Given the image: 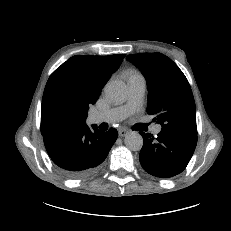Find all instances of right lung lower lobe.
<instances>
[{
    "instance_id": "right-lung-lower-lobe-1",
    "label": "right lung lower lobe",
    "mask_w": 231,
    "mask_h": 231,
    "mask_svg": "<svg viewBox=\"0 0 231 231\" xmlns=\"http://www.w3.org/2000/svg\"><path fill=\"white\" fill-rule=\"evenodd\" d=\"M118 137L115 129L99 131L86 123L76 128L43 134L46 150L60 172L85 178L97 172Z\"/></svg>"
}]
</instances>
